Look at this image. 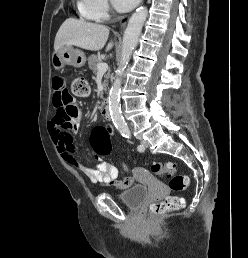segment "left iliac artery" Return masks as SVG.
Wrapping results in <instances>:
<instances>
[{"label":"left iliac artery","mask_w":248,"mask_h":258,"mask_svg":"<svg viewBox=\"0 0 248 258\" xmlns=\"http://www.w3.org/2000/svg\"><path fill=\"white\" fill-rule=\"evenodd\" d=\"M125 137H126V138H130L131 135H130V134H127V135H125ZM144 149H145V148H144L142 145H138V147H137V150H138L139 152L144 151Z\"/></svg>","instance_id":"1"}]
</instances>
